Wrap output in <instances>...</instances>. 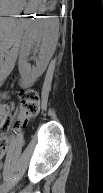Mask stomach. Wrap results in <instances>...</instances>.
<instances>
[{"label": "stomach", "mask_w": 103, "mask_h": 193, "mask_svg": "<svg viewBox=\"0 0 103 193\" xmlns=\"http://www.w3.org/2000/svg\"><path fill=\"white\" fill-rule=\"evenodd\" d=\"M39 2L40 0H0L1 19L6 22L15 15L33 13Z\"/></svg>", "instance_id": "0dacf381"}]
</instances>
